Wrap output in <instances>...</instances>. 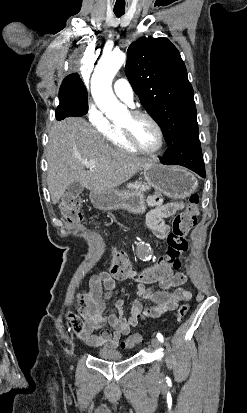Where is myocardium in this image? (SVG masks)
Here are the masks:
<instances>
[{
	"mask_svg": "<svg viewBox=\"0 0 247 413\" xmlns=\"http://www.w3.org/2000/svg\"><path fill=\"white\" fill-rule=\"evenodd\" d=\"M144 118L150 122V124L156 128L159 132L160 135V143L159 145L154 148V149H147L143 147L137 140L134 134V130L132 126H127L125 128H121L123 137L127 141V143L132 146L135 150L139 151L140 153H143L145 155H158L160 154L165 146H166V134L161 125L157 122V120L148 112L142 111V110H136L131 113V119L133 122L136 120Z\"/></svg>",
	"mask_w": 247,
	"mask_h": 413,
	"instance_id": "f54148a6",
	"label": "myocardium"
}]
</instances>
